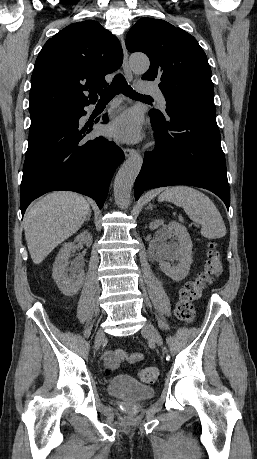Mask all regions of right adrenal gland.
Here are the masks:
<instances>
[{
    "instance_id": "right-adrenal-gland-1",
    "label": "right adrenal gland",
    "mask_w": 257,
    "mask_h": 459,
    "mask_svg": "<svg viewBox=\"0 0 257 459\" xmlns=\"http://www.w3.org/2000/svg\"><path fill=\"white\" fill-rule=\"evenodd\" d=\"M90 220V214L88 215V217L86 218V221H89Z\"/></svg>"
}]
</instances>
